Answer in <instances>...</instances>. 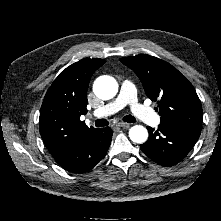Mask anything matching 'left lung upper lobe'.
<instances>
[{
    "instance_id": "1",
    "label": "left lung upper lobe",
    "mask_w": 221,
    "mask_h": 221,
    "mask_svg": "<svg viewBox=\"0 0 221 221\" xmlns=\"http://www.w3.org/2000/svg\"><path fill=\"white\" fill-rule=\"evenodd\" d=\"M141 80L146 95L157 101L161 124L201 129L203 112L191 83L169 63L145 54L121 58Z\"/></svg>"
}]
</instances>
